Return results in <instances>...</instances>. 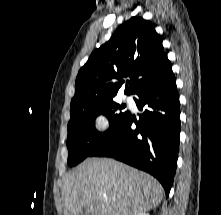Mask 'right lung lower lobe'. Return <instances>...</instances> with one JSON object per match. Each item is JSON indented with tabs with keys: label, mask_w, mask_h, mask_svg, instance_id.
<instances>
[{
	"label": "right lung lower lobe",
	"mask_w": 221,
	"mask_h": 215,
	"mask_svg": "<svg viewBox=\"0 0 221 215\" xmlns=\"http://www.w3.org/2000/svg\"><path fill=\"white\" fill-rule=\"evenodd\" d=\"M134 98L143 113L129 112L114 132L88 157H113L159 180L169 195L179 152L180 103L173 72L139 90ZM137 128L132 129V123Z\"/></svg>",
	"instance_id": "98d812e1"
}]
</instances>
